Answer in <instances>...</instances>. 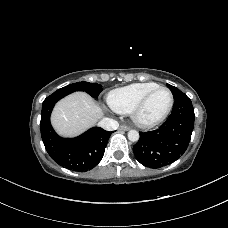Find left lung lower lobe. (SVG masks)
I'll return each mask as SVG.
<instances>
[{"label":"left lung lower lobe","mask_w":228,"mask_h":228,"mask_svg":"<svg viewBox=\"0 0 228 228\" xmlns=\"http://www.w3.org/2000/svg\"><path fill=\"white\" fill-rule=\"evenodd\" d=\"M194 117L191 100L186 95L177 98L165 123L154 131L140 132V139L133 146L136 159L154 169L176 161L189 145Z\"/></svg>","instance_id":"1"}]
</instances>
